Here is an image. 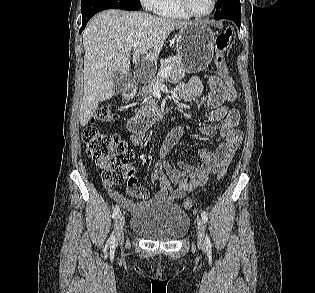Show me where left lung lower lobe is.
Wrapping results in <instances>:
<instances>
[{
	"label": "left lung lower lobe",
	"instance_id": "left-lung-lower-lobe-1",
	"mask_svg": "<svg viewBox=\"0 0 315 293\" xmlns=\"http://www.w3.org/2000/svg\"><path fill=\"white\" fill-rule=\"evenodd\" d=\"M230 20H232L233 22H235V24L238 26V28L240 29V25H241V18H230Z\"/></svg>",
	"mask_w": 315,
	"mask_h": 293
}]
</instances>
